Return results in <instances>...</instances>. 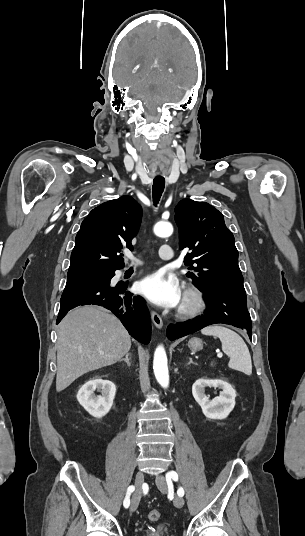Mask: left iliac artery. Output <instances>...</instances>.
Here are the masks:
<instances>
[{"instance_id": "left-iliac-artery-1", "label": "left iliac artery", "mask_w": 305, "mask_h": 536, "mask_svg": "<svg viewBox=\"0 0 305 536\" xmlns=\"http://www.w3.org/2000/svg\"><path fill=\"white\" fill-rule=\"evenodd\" d=\"M171 479L174 480V481H178V474L175 472V471H170L166 474V481L167 483H171ZM178 495L179 496H183L184 495V490L182 487H180L177 491Z\"/></svg>"}]
</instances>
